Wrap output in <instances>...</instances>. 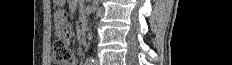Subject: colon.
I'll return each instance as SVG.
<instances>
[{
  "mask_svg": "<svg viewBox=\"0 0 232 65\" xmlns=\"http://www.w3.org/2000/svg\"><path fill=\"white\" fill-rule=\"evenodd\" d=\"M72 57L69 48L68 40L65 38L59 39L53 44V60L56 64H63L69 61Z\"/></svg>",
  "mask_w": 232,
  "mask_h": 65,
  "instance_id": "obj_1",
  "label": "colon"
}]
</instances>
